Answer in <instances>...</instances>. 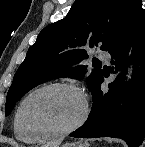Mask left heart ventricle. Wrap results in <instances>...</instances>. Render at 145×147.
<instances>
[{
    "label": "left heart ventricle",
    "instance_id": "b2bd125f",
    "mask_svg": "<svg viewBox=\"0 0 145 147\" xmlns=\"http://www.w3.org/2000/svg\"><path fill=\"white\" fill-rule=\"evenodd\" d=\"M82 101L70 89H51L33 96L25 105L24 120L34 130H61L81 115Z\"/></svg>",
    "mask_w": 145,
    "mask_h": 147
}]
</instances>
